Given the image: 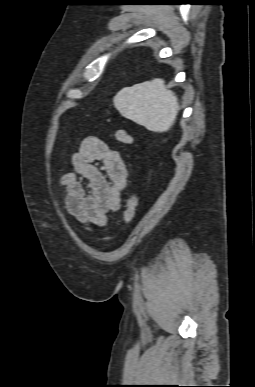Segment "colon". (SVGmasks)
Here are the masks:
<instances>
[{"mask_svg":"<svg viewBox=\"0 0 255 387\" xmlns=\"http://www.w3.org/2000/svg\"><path fill=\"white\" fill-rule=\"evenodd\" d=\"M116 139L125 144L131 145L133 143V137L130 132L126 129H118L115 133ZM137 207V197L135 195H131L126 202V207L123 214V221L126 224L132 222L135 217Z\"/></svg>","mask_w":255,"mask_h":387,"instance_id":"colon-1","label":"colon"}]
</instances>
